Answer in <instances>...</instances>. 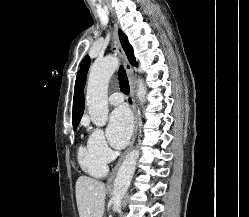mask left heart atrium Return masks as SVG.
<instances>
[{
    "label": "left heart atrium",
    "instance_id": "1",
    "mask_svg": "<svg viewBox=\"0 0 249 217\" xmlns=\"http://www.w3.org/2000/svg\"><path fill=\"white\" fill-rule=\"evenodd\" d=\"M133 128L130 111L124 107L116 108L110 115L108 124V138L115 148H122L128 142Z\"/></svg>",
    "mask_w": 249,
    "mask_h": 217
}]
</instances>
